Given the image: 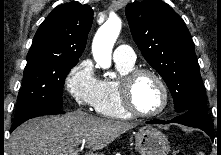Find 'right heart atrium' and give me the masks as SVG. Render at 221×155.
I'll return each mask as SVG.
<instances>
[{
	"instance_id": "obj_1",
	"label": "right heart atrium",
	"mask_w": 221,
	"mask_h": 155,
	"mask_svg": "<svg viewBox=\"0 0 221 155\" xmlns=\"http://www.w3.org/2000/svg\"><path fill=\"white\" fill-rule=\"evenodd\" d=\"M64 85L77 105L87 108L94 107L98 95L99 79L90 59L81 60L74 65L67 73Z\"/></svg>"
}]
</instances>
